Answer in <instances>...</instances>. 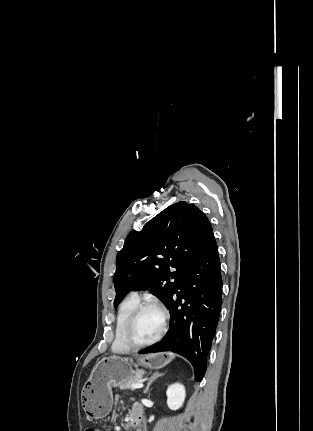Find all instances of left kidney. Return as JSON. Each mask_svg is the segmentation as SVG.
Listing matches in <instances>:
<instances>
[{
  "instance_id": "obj_1",
  "label": "left kidney",
  "mask_w": 313,
  "mask_h": 431,
  "mask_svg": "<svg viewBox=\"0 0 313 431\" xmlns=\"http://www.w3.org/2000/svg\"><path fill=\"white\" fill-rule=\"evenodd\" d=\"M167 405L171 410H178L182 407L186 392L181 383H175L168 387L166 391Z\"/></svg>"
}]
</instances>
